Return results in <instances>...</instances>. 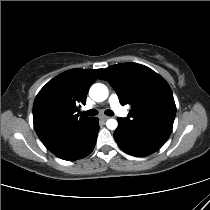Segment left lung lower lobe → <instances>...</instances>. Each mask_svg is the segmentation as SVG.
Segmentation results:
<instances>
[{
    "label": "left lung lower lobe",
    "instance_id": "left-lung-lower-lobe-1",
    "mask_svg": "<svg viewBox=\"0 0 210 210\" xmlns=\"http://www.w3.org/2000/svg\"><path fill=\"white\" fill-rule=\"evenodd\" d=\"M118 127L114 132V139L119 147L126 153L143 157L159 150L169 136L130 129L117 119Z\"/></svg>",
    "mask_w": 210,
    "mask_h": 210
}]
</instances>
